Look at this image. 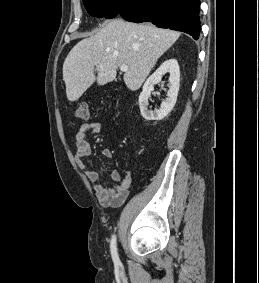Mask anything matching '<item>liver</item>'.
<instances>
[{
    "label": "liver",
    "mask_w": 259,
    "mask_h": 283,
    "mask_svg": "<svg viewBox=\"0 0 259 283\" xmlns=\"http://www.w3.org/2000/svg\"><path fill=\"white\" fill-rule=\"evenodd\" d=\"M179 36L177 31L149 24L109 21L98 33L78 42L67 55L63 80L68 100H78L95 81L98 85L112 82L121 65L129 68L124 74L126 86L138 90Z\"/></svg>",
    "instance_id": "liver-1"
}]
</instances>
